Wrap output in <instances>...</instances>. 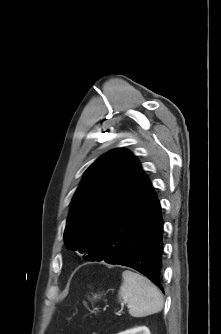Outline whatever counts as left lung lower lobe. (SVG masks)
I'll return each instance as SVG.
<instances>
[{
  "label": "left lung lower lobe",
  "instance_id": "0a47b994",
  "mask_svg": "<svg viewBox=\"0 0 221 334\" xmlns=\"http://www.w3.org/2000/svg\"><path fill=\"white\" fill-rule=\"evenodd\" d=\"M162 234L160 203L145 176L103 234L93 261L131 267L163 291Z\"/></svg>",
  "mask_w": 221,
  "mask_h": 334
}]
</instances>
